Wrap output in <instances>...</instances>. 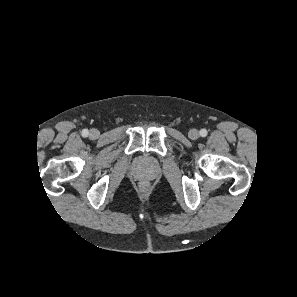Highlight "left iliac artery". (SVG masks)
I'll return each mask as SVG.
<instances>
[{
	"instance_id": "obj_1",
	"label": "left iliac artery",
	"mask_w": 297,
	"mask_h": 297,
	"mask_svg": "<svg viewBox=\"0 0 297 297\" xmlns=\"http://www.w3.org/2000/svg\"><path fill=\"white\" fill-rule=\"evenodd\" d=\"M207 134H208V132H207L206 129H201V130H200V135H201L202 137H206Z\"/></svg>"
}]
</instances>
